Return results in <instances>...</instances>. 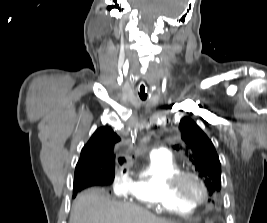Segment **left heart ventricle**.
Instances as JSON below:
<instances>
[{
	"label": "left heart ventricle",
	"mask_w": 267,
	"mask_h": 223,
	"mask_svg": "<svg viewBox=\"0 0 267 223\" xmlns=\"http://www.w3.org/2000/svg\"><path fill=\"white\" fill-rule=\"evenodd\" d=\"M186 190H187L189 195L196 197V198L200 197L202 194L201 187L198 185L197 182H195L192 179H189L186 182Z\"/></svg>",
	"instance_id": "1"
}]
</instances>
